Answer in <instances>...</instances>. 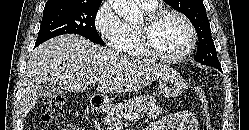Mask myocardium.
Wrapping results in <instances>:
<instances>
[{"label":"myocardium","mask_w":249,"mask_h":130,"mask_svg":"<svg viewBox=\"0 0 249 130\" xmlns=\"http://www.w3.org/2000/svg\"><path fill=\"white\" fill-rule=\"evenodd\" d=\"M166 16H175L181 19L189 31L190 39L187 47L176 55H166L159 51L154 44V27L162 18ZM139 33L146 54L154 59L164 62H178L185 59L194 50L197 43V32L192 21L184 13L174 9H156L149 11L144 21L139 25Z\"/></svg>","instance_id":"myocardium-1"}]
</instances>
